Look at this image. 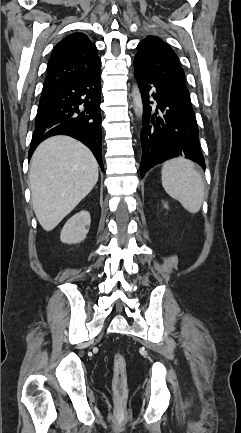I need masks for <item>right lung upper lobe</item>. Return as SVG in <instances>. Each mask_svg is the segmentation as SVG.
I'll return each instance as SVG.
<instances>
[{"label":"right lung upper lobe","instance_id":"1","mask_svg":"<svg viewBox=\"0 0 241 433\" xmlns=\"http://www.w3.org/2000/svg\"><path fill=\"white\" fill-rule=\"evenodd\" d=\"M100 66L96 46L84 33H73L54 48L48 61L43 90L79 76L93 74Z\"/></svg>","mask_w":241,"mask_h":433}]
</instances>
